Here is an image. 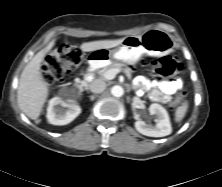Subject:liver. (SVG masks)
Listing matches in <instances>:
<instances>
[{
	"label": "liver",
	"mask_w": 222,
	"mask_h": 187,
	"mask_svg": "<svg viewBox=\"0 0 222 187\" xmlns=\"http://www.w3.org/2000/svg\"><path fill=\"white\" fill-rule=\"evenodd\" d=\"M124 38L115 40H99L85 42L80 46L84 52L97 49H110L121 44ZM55 44L53 39L44 49L39 51L25 66L17 90L19 108L32 120H37L48 97V86L40 72L41 62Z\"/></svg>",
	"instance_id": "obj_1"
}]
</instances>
